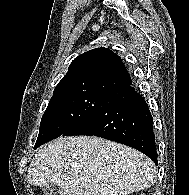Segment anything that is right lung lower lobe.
<instances>
[{
  "label": "right lung lower lobe",
  "instance_id": "obj_1",
  "mask_svg": "<svg viewBox=\"0 0 189 195\" xmlns=\"http://www.w3.org/2000/svg\"><path fill=\"white\" fill-rule=\"evenodd\" d=\"M153 119L144 98L131 84L110 93L63 136L91 135L135 148L158 165Z\"/></svg>",
  "mask_w": 189,
  "mask_h": 195
}]
</instances>
